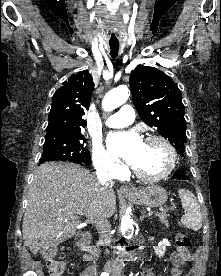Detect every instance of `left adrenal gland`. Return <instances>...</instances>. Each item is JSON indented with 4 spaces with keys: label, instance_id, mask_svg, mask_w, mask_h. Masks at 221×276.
I'll use <instances>...</instances> for the list:
<instances>
[{
    "label": "left adrenal gland",
    "instance_id": "a2214340",
    "mask_svg": "<svg viewBox=\"0 0 221 276\" xmlns=\"http://www.w3.org/2000/svg\"><path fill=\"white\" fill-rule=\"evenodd\" d=\"M147 215H145V211H142V215L140 216V221H142L144 218H146Z\"/></svg>",
    "mask_w": 221,
    "mask_h": 276
}]
</instances>
